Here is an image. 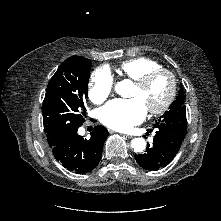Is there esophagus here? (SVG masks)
Listing matches in <instances>:
<instances>
[{"instance_id": "esophagus-1", "label": "esophagus", "mask_w": 221, "mask_h": 221, "mask_svg": "<svg viewBox=\"0 0 221 221\" xmlns=\"http://www.w3.org/2000/svg\"><path fill=\"white\" fill-rule=\"evenodd\" d=\"M123 137L128 138V139L133 138L131 135H126V134H124Z\"/></svg>"}]
</instances>
